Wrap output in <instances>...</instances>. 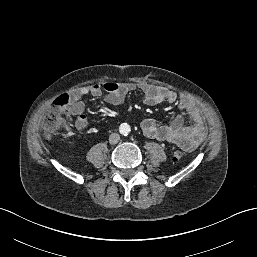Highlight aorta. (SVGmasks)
Returning <instances> with one entry per match:
<instances>
[{
    "mask_svg": "<svg viewBox=\"0 0 257 257\" xmlns=\"http://www.w3.org/2000/svg\"><path fill=\"white\" fill-rule=\"evenodd\" d=\"M131 128L127 123L121 124L120 126V132L124 135L128 134L130 132Z\"/></svg>",
    "mask_w": 257,
    "mask_h": 257,
    "instance_id": "762f6f07",
    "label": "aorta"
}]
</instances>
